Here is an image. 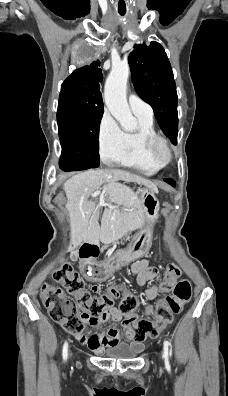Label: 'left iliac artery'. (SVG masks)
Listing matches in <instances>:
<instances>
[{
	"label": "left iliac artery",
	"instance_id": "1",
	"mask_svg": "<svg viewBox=\"0 0 228 396\" xmlns=\"http://www.w3.org/2000/svg\"><path fill=\"white\" fill-rule=\"evenodd\" d=\"M169 342L168 341H164V357H168V351H169Z\"/></svg>",
	"mask_w": 228,
	"mask_h": 396
}]
</instances>
